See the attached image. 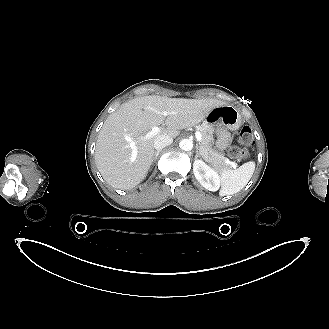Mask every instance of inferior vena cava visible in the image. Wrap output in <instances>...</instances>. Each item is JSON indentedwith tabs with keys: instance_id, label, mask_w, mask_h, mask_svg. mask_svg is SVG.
Returning <instances> with one entry per match:
<instances>
[{
	"instance_id": "obj_1",
	"label": "inferior vena cava",
	"mask_w": 329,
	"mask_h": 329,
	"mask_svg": "<svg viewBox=\"0 0 329 329\" xmlns=\"http://www.w3.org/2000/svg\"><path fill=\"white\" fill-rule=\"evenodd\" d=\"M173 142V138L169 135L162 134L155 138L154 140V148L156 150H161L164 147L170 145Z\"/></svg>"
}]
</instances>
